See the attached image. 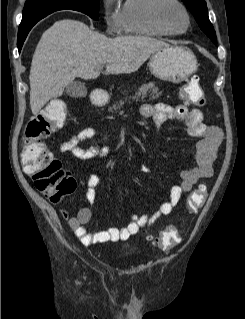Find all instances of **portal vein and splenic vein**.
<instances>
[{"label":"portal vein and splenic vein","instance_id":"18ae733b","mask_svg":"<svg viewBox=\"0 0 245 319\" xmlns=\"http://www.w3.org/2000/svg\"><path fill=\"white\" fill-rule=\"evenodd\" d=\"M103 65L98 67V70H102L103 69Z\"/></svg>","mask_w":245,"mask_h":319}]
</instances>
